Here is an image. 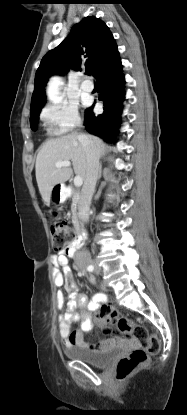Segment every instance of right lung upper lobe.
Listing matches in <instances>:
<instances>
[{
    "label": "right lung upper lobe",
    "mask_w": 187,
    "mask_h": 415,
    "mask_svg": "<svg viewBox=\"0 0 187 415\" xmlns=\"http://www.w3.org/2000/svg\"><path fill=\"white\" fill-rule=\"evenodd\" d=\"M118 53L106 24L94 16L85 17L73 26L60 45L42 58L35 75L31 112L43 107L45 87L52 75H63L70 69L81 71L85 67L96 77Z\"/></svg>",
    "instance_id": "1"
}]
</instances>
